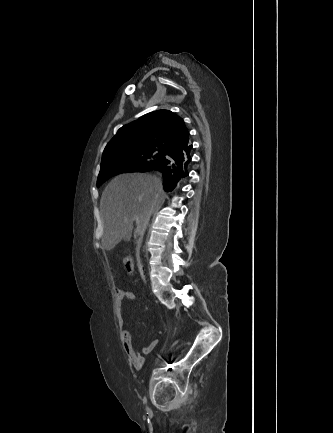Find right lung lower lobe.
<instances>
[{
    "instance_id": "1",
    "label": "right lung lower lobe",
    "mask_w": 333,
    "mask_h": 433,
    "mask_svg": "<svg viewBox=\"0 0 333 433\" xmlns=\"http://www.w3.org/2000/svg\"><path fill=\"white\" fill-rule=\"evenodd\" d=\"M192 145L167 152L158 164L150 170H158L163 176V186L166 191H172L178 183L189 175Z\"/></svg>"
}]
</instances>
